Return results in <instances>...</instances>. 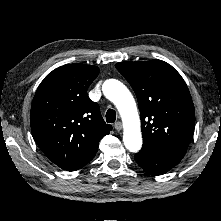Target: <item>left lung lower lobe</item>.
<instances>
[{
    "label": "left lung lower lobe",
    "mask_w": 221,
    "mask_h": 221,
    "mask_svg": "<svg viewBox=\"0 0 221 221\" xmlns=\"http://www.w3.org/2000/svg\"><path fill=\"white\" fill-rule=\"evenodd\" d=\"M182 158L163 154L150 147H142L135 155L138 165L150 174L162 175L176 166Z\"/></svg>",
    "instance_id": "obj_1"
}]
</instances>
